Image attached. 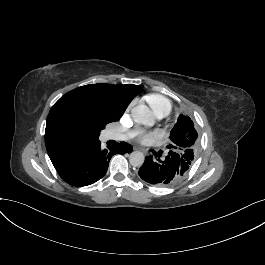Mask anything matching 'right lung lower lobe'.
Returning <instances> with one entry per match:
<instances>
[{
  "label": "right lung lower lobe",
  "mask_w": 265,
  "mask_h": 265,
  "mask_svg": "<svg viewBox=\"0 0 265 265\" xmlns=\"http://www.w3.org/2000/svg\"><path fill=\"white\" fill-rule=\"evenodd\" d=\"M132 149L128 143L121 142L116 147L103 150L98 141L73 151L54 167L68 184L77 187L87 186L106 174L113 155L130 153Z\"/></svg>",
  "instance_id": "98d812e1"
}]
</instances>
